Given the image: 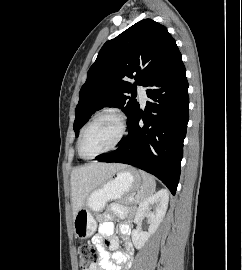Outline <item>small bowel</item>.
<instances>
[{
    "label": "small bowel",
    "instance_id": "obj_1",
    "mask_svg": "<svg viewBox=\"0 0 242 270\" xmlns=\"http://www.w3.org/2000/svg\"><path fill=\"white\" fill-rule=\"evenodd\" d=\"M117 216L124 221L119 226L120 236L125 241V251H119V240L114 235L113 217ZM99 233L92 238V244L98 253V261L88 266L85 270H121L127 267V260L132 251L129 241L132 214L120 205H114L111 213L101 217L99 220ZM106 241H103V238ZM110 252H113L110 254Z\"/></svg>",
    "mask_w": 242,
    "mask_h": 270
}]
</instances>
